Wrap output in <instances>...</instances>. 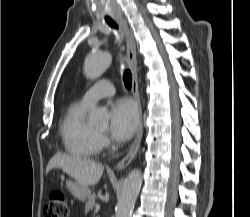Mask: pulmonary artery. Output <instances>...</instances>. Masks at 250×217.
Instances as JSON below:
<instances>
[{
	"instance_id": "1",
	"label": "pulmonary artery",
	"mask_w": 250,
	"mask_h": 217,
	"mask_svg": "<svg viewBox=\"0 0 250 217\" xmlns=\"http://www.w3.org/2000/svg\"><path fill=\"white\" fill-rule=\"evenodd\" d=\"M115 93L113 84L108 80H101L93 84L84 93L81 101L88 106H92L101 98L110 97Z\"/></svg>"
}]
</instances>
